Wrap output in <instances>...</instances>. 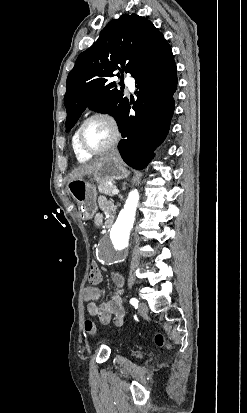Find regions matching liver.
<instances>
[{"instance_id": "obj_1", "label": "liver", "mask_w": 247, "mask_h": 413, "mask_svg": "<svg viewBox=\"0 0 247 413\" xmlns=\"http://www.w3.org/2000/svg\"><path fill=\"white\" fill-rule=\"evenodd\" d=\"M101 160H103V158H98L96 162H88V164H81V166H77V168H74V170L70 172L69 180H76V178H83L85 174H90V172L95 170L97 164H99Z\"/></svg>"}]
</instances>
